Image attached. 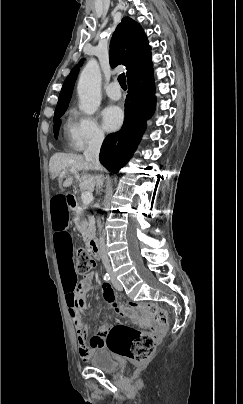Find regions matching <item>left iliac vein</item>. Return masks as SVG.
<instances>
[{"label": "left iliac vein", "mask_w": 243, "mask_h": 404, "mask_svg": "<svg viewBox=\"0 0 243 404\" xmlns=\"http://www.w3.org/2000/svg\"><path fill=\"white\" fill-rule=\"evenodd\" d=\"M111 278H112V283L114 285V287L118 290V291H122L123 290V286L122 284L117 280V278L115 277V275L113 273H111Z\"/></svg>", "instance_id": "left-iliac-vein-1"}]
</instances>
